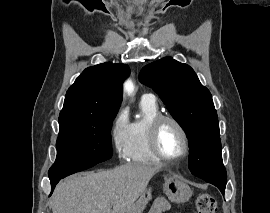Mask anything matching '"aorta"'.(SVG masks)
<instances>
[{"label": "aorta", "mask_w": 270, "mask_h": 213, "mask_svg": "<svg viewBox=\"0 0 270 213\" xmlns=\"http://www.w3.org/2000/svg\"><path fill=\"white\" fill-rule=\"evenodd\" d=\"M125 90L128 92V93H132L133 90H134V86H133V83L131 81H127L125 83Z\"/></svg>", "instance_id": "762f6f07"}]
</instances>
